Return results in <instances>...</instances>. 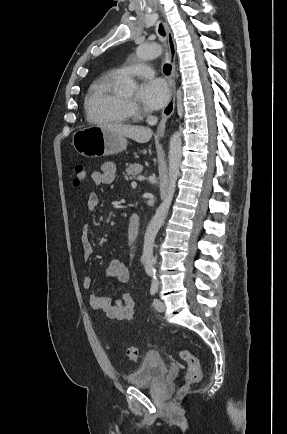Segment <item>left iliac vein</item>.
<instances>
[{"label":"left iliac vein","mask_w":287,"mask_h":434,"mask_svg":"<svg viewBox=\"0 0 287 434\" xmlns=\"http://www.w3.org/2000/svg\"><path fill=\"white\" fill-rule=\"evenodd\" d=\"M154 307L158 312H164L165 311V303L161 301L158 298H155L153 301Z\"/></svg>","instance_id":"left-iliac-vein-1"}]
</instances>
